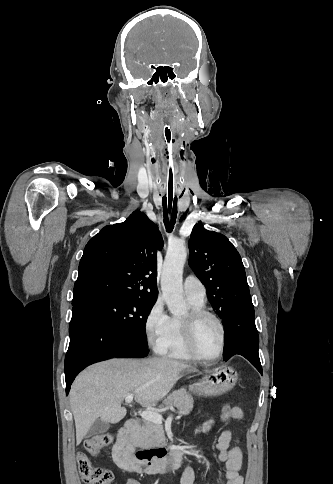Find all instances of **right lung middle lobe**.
Here are the masks:
<instances>
[{
	"label": "right lung middle lobe",
	"mask_w": 333,
	"mask_h": 484,
	"mask_svg": "<svg viewBox=\"0 0 333 484\" xmlns=\"http://www.w3.org/2000/svg\"><path fill=\"white\" fill-rule=\"evenodd\" d=\"M155 301L153 298L91 294L78 303L100 313L113 327L148 348L145 323Z\"/></svg>",
	"instance_id": "right-lung-middle-lobe-1"
}]
</instances>
